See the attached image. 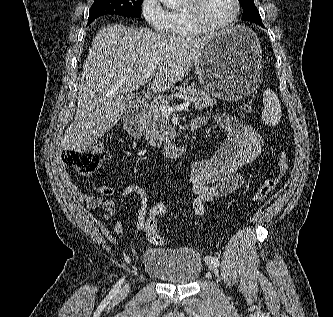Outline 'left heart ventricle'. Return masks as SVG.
<instances>
[{"label":"left heart ventricle","instance_id":"left-heart-ventricle-1","mask_svg":"<svg viewBox=\"0 0 333 317\" xmlns=\"http://www.w3.org/2000/svg\"><path fill=\"white\" fill-rule=\"evenodd\" d=\"M233 12V0H202L200 6L201 19L211 25L225 22Z\"/></svg>","mask_w":333,"mask_h":317}]
</instances>
